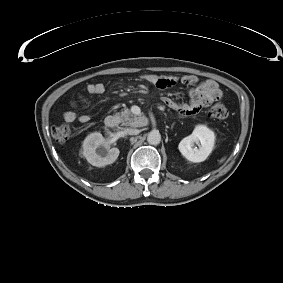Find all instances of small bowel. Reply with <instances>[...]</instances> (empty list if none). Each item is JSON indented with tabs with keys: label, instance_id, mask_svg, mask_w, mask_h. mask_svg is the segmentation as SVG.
<instances>
[{
	"label": "small bowel",
	"instance_id": "c3829d8e",
	"mask_svg": "<svg viewBox=\"0 0 283 283\" xmlns=\"http://www.w3.org/2000/svg\"><path fill=\"white\" fill-rule=\"evenodd\" d=\"M141 79L147 83L158 86L159 88L169 87L173 81L168 78H162L159 75L148 73L141 75ZM182 82L185 85L196 84L195 87L189 90V100L187 103L182 105H177L169 97H164V103L172 108H178L181 113L185 115L196 114L202 108L208 106L209 104L221 99L222 91L220 90L218 84L212 79H206L204 81L198 82L195 76H184ZM86 91L89 94H101L104 92V86L102 83H89L86 86ZM72 107L64 113L63 118L66 122L79 121L81 123H87L90 121V116L88 114H78L75 109L78 108L76 102L72 101L70 103Z\"/></svg>",
	"mask_w": 283,
	"mask_h": 283
}]
</instances>
